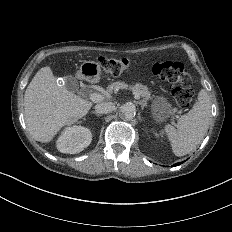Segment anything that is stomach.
<instances>
[{
  "label": "stomach",
  "instance_id": "stomach-1",
  "mask_svg": "<svg viewBox=\"0 0 232 232\" xmlns=\"http://www.w3.org/2000/svg\"><path fill=\"white\" fill-rule=\"evenodd\" d=\"M80 73L85 79L97 82L102 75L101 65L96 61H84L80 66Z\"/></svg>",
  "mask_w": 232,
  "mask_h": 232
}]
</instances>
